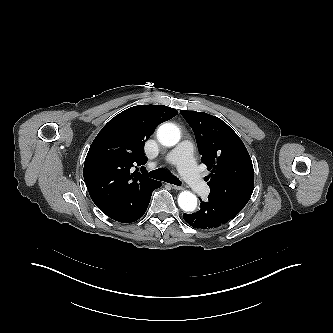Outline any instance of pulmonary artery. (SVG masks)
Masks as SVG:
<instances>
[{
	"mask_svg": "<svg viewBox=\"0 0 333 333\" xmlns=\"http://www.w3.org/2000/svg\"><path fill=\"white\" fill-rule=\"evenodd\" d=\"M166 160L177 165L181 175L194 192L199 195L208 194L209 188L197 169L193 158V145L190 142H181L166 156Z\"/></svg>",
	"mask_w": 333,
	"mask_h": 333,
	"instance_id": "e3ab8cb5",
	"label": "pulmonary artery"
}]
</instances>
